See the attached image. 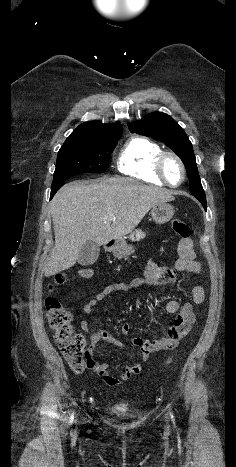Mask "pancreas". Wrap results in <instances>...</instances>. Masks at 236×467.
<instances>
[{"label":"pancreas","mask_w":236,"mask_h":467,"mask_svg":"<svg viewBox=\"0 0 236 467\" xmlns=\"http://www.w3.org/2000/svg\"><path fill=\"white\" fill-rule=\"evenodd\" d=\"M145 236V232L140 229H136L128 236V238L132 241H140L141 239L145 238Z\"/></svg>","instance_id":"pancreas-1"}]
</instances>
